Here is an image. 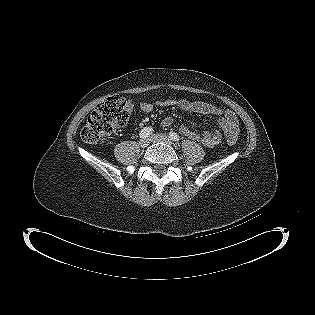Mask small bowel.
<instances>
[{"label":"small bowel","instance_id":"small-bowel-1","mask_svg":"<svg viewBox=\"0 0 315 315\" xmlns=\"http://www.w3.org/2000/svg\"><path fill=\"white\" fill-rule=\"evenodd\" d=\"M173 106H176L182 111H190L202 115H212L217 117L220 130L223 131L228 139L232 138L236 140L239 133V121L236 115L229 110L220 108L208 102L191 101L188 99H164L158 100L154 103L142 102L140 104V109L143 113H150L155 107L167 108ZM126 108L129 112H132L134 108L133 102L128 100L126 102ZM173 122L174 119L172 117H165L162 120L161 125L163 127H168L172 125ZM220 130L200 134L187 126L180 127L181 134L193 140H198L207 147H213L221 141L222 134Z\"/></svg>","mask_w":315,"mask_h":315}]
</instances>
